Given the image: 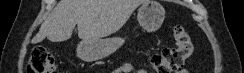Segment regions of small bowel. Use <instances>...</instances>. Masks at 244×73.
I'll return each mask as SVG.
<instances>
[{"label": "small bowel", "mask_w": 244, "mask_h": 73, "mask_svg": "<svg viewBox=\"0 0 244 73\" xmlns=\"http://www.w3.org/2000/svg\"><path fill=\"white\" fill-rule=\"evenodd\" d=\"M146 73L143 70H136L131 63H125L122 66H120L118 69L115 70V73ZM179 73H188L186 69H182Z\"/></svg>", "instance_id": "small-bowel-1"}]
</instances>
